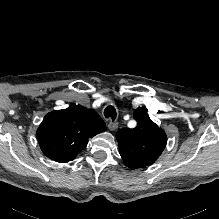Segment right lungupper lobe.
Returning <instances> with one entry per match:
<instances>
[{"mask_svg": "<svg viewBox=\"0 0 219 219\" xmlns=\"http://www.w3.org/2000/svg\"><path fill=\"white\" fill-rule=\"evenodd\" d=\"M105 130L104 121L94 110L73 104L48 113L37 130V138L45 156L67 163L86 147L90 137Z\"/></svg>", "mask_w": 219, "mask_h": 219, "instance_id": "right-lung-upper-lobe-1", "label": "right lung upper lobe"}]
</instances>
